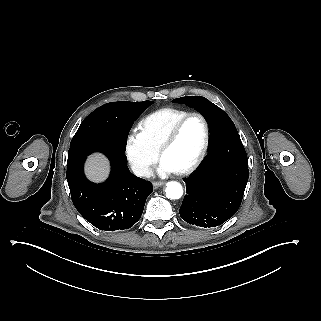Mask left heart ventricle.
Segmentation results:
<instances>
[{"instance_id":"b2bd125f","label":"left heart ventricle","mask_w":321,"mask_h":321,"mask_svg":"<svg viewBox=\"0 0 321 321\" xmlns=\"http://www.w3.org/2000/svg\"><path fill=\"white\" fill-rule=\"evenodd\" d=\"M204 138L202 121L191 118L180 128L175 140L162 150V156L167 157L180 171L188 167L199 153Z\"/></svg>"}]
</instances>
